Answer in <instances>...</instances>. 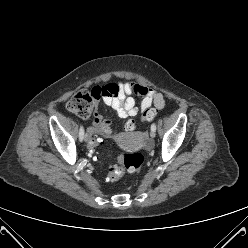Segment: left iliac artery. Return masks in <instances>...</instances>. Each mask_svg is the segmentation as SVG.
<instances>
[{"label": "left iliac artery", "mask_w": 248, "mask_h": 248, "mask_svg": "<svg viewBox=\"0 0 248 248\" xmlns=\"http://www.w3.org/2000/svg\"><path fill=\"white\" fill-rule=\"evenodd\" d=\"M151 130H152V131H156V125H155V123H152V125H151Z\"/></svg>", "instance_id": "obj_1"}]
</instances>
